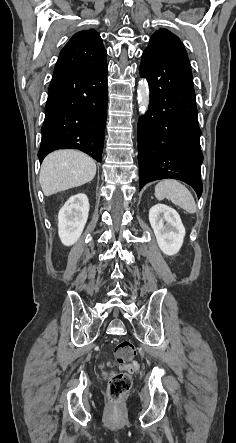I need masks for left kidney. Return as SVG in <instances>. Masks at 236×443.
I'll return each instance as SVG.
<instances>
[{"label":"left kidney","mask_w":236,"mask_h":443,"mask_svg":"<svg viewBox=\"0 0 236 443\" xmlns=\"http://www.w3.org/2000/svg\"><path fill=\"white\" fill-rule=\"evenodd\" d=\"M149 221L161 251L175 255L182 247L185 228L179 214L164 204H156L149 210Z\"/></svg>","instance_id":"1"}]
</instances>
